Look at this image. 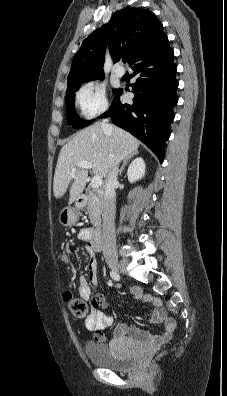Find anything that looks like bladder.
<instances>
[{"mask_svg": "<svg viewBox=\"0 0 227 396\" xmlns=\"http://www.w3.org/2000/svg\"><path fill=\"white\" fill-rule=\"evenodd\" d=\"M84 350L93 365L115 372L130 371L137 364V356L118 344L88 342L85 344Z\"/></svg>", "mask_w": 227, "mask_h": 396, "instance_id": "1", "label": "bladder"}]
</instances>
